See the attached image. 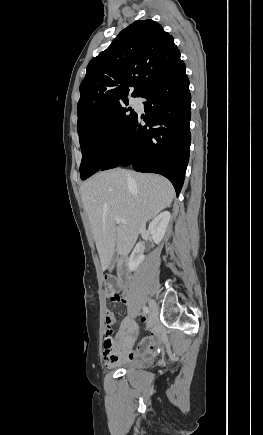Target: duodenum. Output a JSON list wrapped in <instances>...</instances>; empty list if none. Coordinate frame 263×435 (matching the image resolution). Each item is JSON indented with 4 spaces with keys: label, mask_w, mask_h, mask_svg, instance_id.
Wrapping results in <instances>:
<instances>
[{
    "label": "duodenum",
    "mask_w": 263,
    "mask_h": 435,
    "mask_svg": "<svg viewBox=\"0 0 263 435\" xmlns=\"http://www.w3.org/2000/svg\"><path fill=\"white\" fill-rule=\"evenodd\" d=\"M119 270H120L122 277L125 278V263H124L123 259H121L119 261Z\"/></svg>",
    "instance_id": "duodenum-1"
}]
</instances>
